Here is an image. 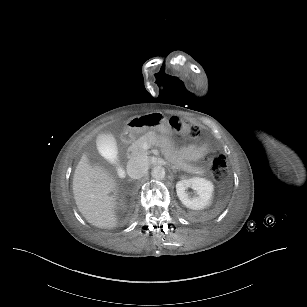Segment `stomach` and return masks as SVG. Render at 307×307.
<instances>
[{"mask_svg": "<svg viewBox=\"0 0 307 307\" xmlns=\"http://www.w3.org/2000/svg\"><path fill=\"white\" fill-rule=\"evenodd\" d=\"M129 128L137 133L156 130L165 135H172L169 121L161 113H150L134 117L129 121Z\"/></svg>", "mask_w": 307, "mask_h": 307, "instance_id": "obj_1", "label": "stomach"}]
</instances>
